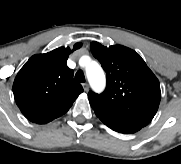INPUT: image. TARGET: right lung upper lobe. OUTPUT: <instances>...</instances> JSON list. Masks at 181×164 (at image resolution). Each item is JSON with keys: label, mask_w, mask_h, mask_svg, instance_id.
I'll list each match as a JSON object with an SVG mask.
<instances>
[{"label": "right lung upper lobe", "mask_w": 181, "mask_h": 164, "mask_svg": "<svg viewBox=\"0 0 181 164\" xmlns=\"http://www.w3.org/2000/svg\"><path fill=\"white\" fill-rule=\"evenodd\" d=\"M71 50L60 47L32 56L17 74L13 93L23 115L31 122L45 124L65 114L83 92L66 62Z\"/></svg>", "instance_id": "cb5924a9"}]
</instances>
